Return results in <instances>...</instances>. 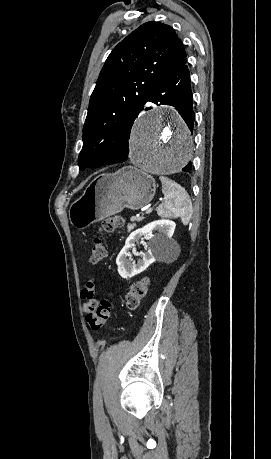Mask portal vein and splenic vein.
Instances as JSON below:
<instances>
[{"instance_id": "18ae733b", "label": "portal vein and splenic vein", "mask_w": 271, "mask_h": 459, "mask_svg": "<svg viewBox=\"0 0 271 459\" xmlns=\"http://www.w3.org/2000/svg\"><path fill=\"white\" fill-rule=\"evenodd\" d=\"M146 211V214H150V212H152V208H149V210L147 209Z\"/></svg>"}]
</instances>
